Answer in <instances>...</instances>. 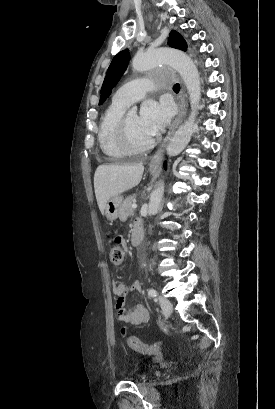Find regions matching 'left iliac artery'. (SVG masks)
Instances as JSON below:
<instances>
[{
  "label": "left iliac artery",
  "mask_w": 275,
  "mask_h": 409,
  "mask_svg": "<svg viewBox=\"0 0 275 409\" xmlns=\"http://www.w3.org/2000/svg\"><path fill=\"white\" fill-rule=\"evenodd\" d=\"M148 295L150 297H156L157 296V291L155 289L151 288V289L148 290Z\"/></svg>",
  "instance_id": "obj_1"
}]
</instances>
